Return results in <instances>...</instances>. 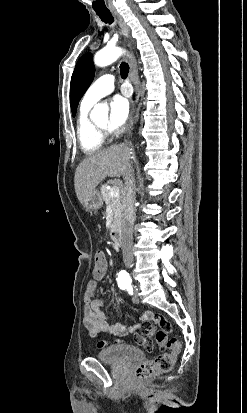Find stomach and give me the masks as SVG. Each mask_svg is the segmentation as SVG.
<instances>
[{"label":"stomach","instance_id":"1","mask_svg":"<svg viewBox=\"0 0 247 413\" xmlns=\"http://www.w3.org/2000/svg\"><path fill=\"white\" fill-rule=\"evenodd\" d=\"M82 204L85 211H97V209H100L103 204V198L99 190H92V192H89Z\"/></svg>","mask_w":247,"mask_h":413}]
</instances>
